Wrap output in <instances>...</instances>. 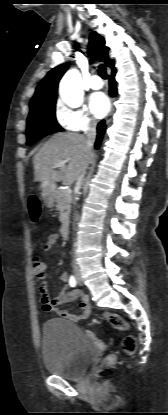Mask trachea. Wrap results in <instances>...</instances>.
Instances as JSON below:
<instances>
[{
	"instance_id": "3493384b",
	"label": "trachea",
	"mask_w": 168,
	"mask_h": 415,
	"mask_svg": "<svg viewBox=\"0 0 168 415\" xmlns=\"http://www.w3.org/2000/svg\"><path fill=\"white\" fill-rule=\"evenodd\" d=\"M98 73L103 79L107 78L106 68L103 64L99 65Z\"/></svg>"
}]
</instances>
